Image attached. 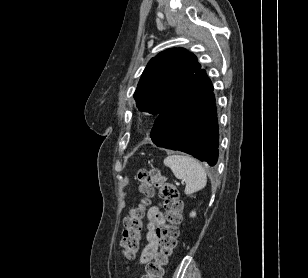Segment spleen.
<instances>
[{"label": "spleen", "instance_id": "3e777b00", "mask_svg": "<svg viewBox=\"0 0 308 278\" xmlns=\"http://www.w3.org/2000/svg\"><path fill=\"white\" fill-rule=\"evenodd\" d=\"M164 165L172 170L177 179L185 180L186 195L193 194L206 186V172L196 159L187 155L173 154L164 159Z\"/></svg>", "mask_w": 308, "mask_h": 278}]
</instances>
